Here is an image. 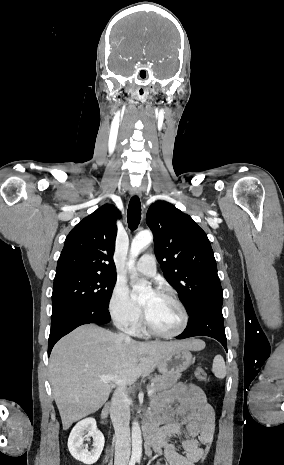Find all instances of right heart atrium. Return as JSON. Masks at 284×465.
<instances>
[{
  "mask_svg": "<svg viewBox=\"0 0 284 465\" xmlns=\"http://www.w3.org/2000/svg\"><path fill=\"white\" fill-rule=\"evenodd\" d=\"M107 310L114 324H119V328L123 330L129 331L139 324L140 311L129 299L123 285L117 284L113 288L108 299Z\"/></svg>",
  "mask_w": 284,
  "mask_h": 465,
  "instance_id": "obj_1",
  "label": "right heart atrium"
}]
</instances>
